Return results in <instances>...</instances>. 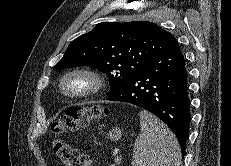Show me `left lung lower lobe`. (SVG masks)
<instances>
[{
  "label": "left lung lower lobe",
  "mask_w": 231,
  "mask_h": 166,
  "mask_svg": "<svg viewBox=\"0 0 231 166\" xmlns=\"http://www.w3.org/2000/svg\"><path fill=\"white\" fill-rule=\"evenodd\" d=\"M107 100L128 102L158 116L176 135L184 156L190 101L185 60L175 37Z\"/></svg>",
  "instance_id": "1"
}]
</instances>
